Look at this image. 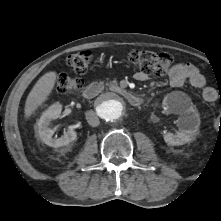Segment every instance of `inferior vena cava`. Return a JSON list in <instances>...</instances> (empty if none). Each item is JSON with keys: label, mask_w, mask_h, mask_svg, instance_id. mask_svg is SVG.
I'll list each match as a JSON object with an SVG mask.
<instances>
[{"label": "inferior vena cava", "mask_w": 221, "mask_h": 221, "mask_svg": "<svg viewBox=\"0 0 221 221\" xmlns=\"http://www.w3.org/2000/svg\"><path fill=\"white\" fill-rule=\"evenodd\" d=\"M86 119L89 125H91L92 127H96L100 124L99 118L95 115L93 111L88 112Z\"/></svg>", "instance_id": "1"}]
</instances>
